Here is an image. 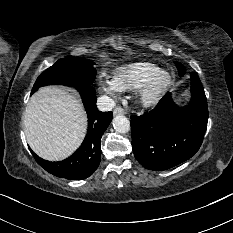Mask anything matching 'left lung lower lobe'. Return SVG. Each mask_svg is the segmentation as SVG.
Masks as SVG:
<instances>
[{"mask_svg": "<svg viewBox=\"0 0 233 233\" xmlns=\"http://www.w3.org/2000/svg\"><path fill=\"white\" fill-rule=\"evenodd\" d=\"M191 103L176 106L167 94L156 108L131 116L132 149L147 169L163 171L190 159L200 148L207 128V99L196 73H191Z\"/></svg>", "mask_w": 233, "mask_h": 233, "instance_id": "1", "label": "left lung lower lobe"}]
</instances>
